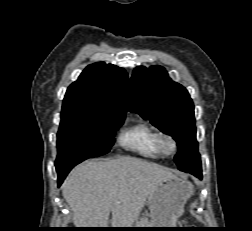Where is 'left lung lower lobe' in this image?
Instances as JSON below:
<instances>
[{"label":"left lung lower lobe","mask_w":252,"mask_h":231,"mask_svg":"<svg viewBox=\"0 0 252 231\" xmlns=\"http://www.w3.org/2000/svg\"><path fill=\"white\" fill-rule=\"evenodd\" d=\"M181 171H183V170H181ZM184 172H188V173L194 174L195 176H197L199 178L202 177L201 167H199V168H189V169L184 170Z\"/></svg>","instance_id":"0a47b994"}]
</instances>
